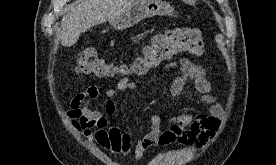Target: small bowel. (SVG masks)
I'll list each match as a JSON object with an SVG mask.
<instances>
[{
	"label": "small bowel",
	"instance_id": "small-bowel-1",
	"mask_svg": "<svg viewBox=\"0 0 276 165\" xmlns=\"http://www.w3.org/2000/svg\"><path fill=\"white\" fill-rule=\"evenodd\" d=\"M163 68L166 72H178L170 87L173 97H183L189 83H192L195 89L202 94V101L211 106L210 114L193 117L182 112L171 117L166 123L159 115H153L150 130L138 139L134 146L136 161L141 160L153 145L168 146L179 143L201 147L215 136L220 126L223 109L221 104L210 94L211 84L205 70L186 58L168 61ZM135 87V82L124 77L118 81L115 87L107 88L104 92L107 98L106 114L113 115L115 113L116 104L113 99L118 93L133 90ZM99 95L100 90L97 86L87 87L73 98L67 115L75 120L89 141L98 144L114 155L126 156L134 145L132 136L129 133L121 132L117 127L109 126L108 119L103 113L87 106L89 101L97 99Z\"/></svg>",
	"mask_w": 276,
	"mask_h": 165
}]
</instances>
